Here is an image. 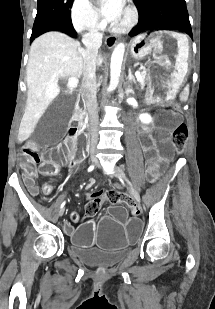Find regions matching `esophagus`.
Here are the masks:
<instances>
[{"instance_id": "1", "label": "esophagus", "mask_w": 215, "mask_h": 309, "mask_svg": "<svg viewBox=\"0 0 215 309\" xmlns=\"http://www.w3.org/2000/svg\"><path fill=\"white\" fill-rule=\"evenodd\" d=\"M105 43L108 48H113L116 43H117V38L116 37H107L105 40Z\"/></svg>"}]
</instances>
